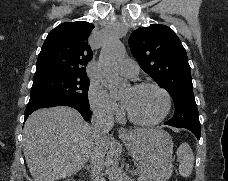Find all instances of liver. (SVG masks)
<instances>
[{"label": "liver", "mask_w": 228, "mask_h": 181, "mask_svg": "<svg viewBox=\"0 0 228 181\" xmlns=\"http://www.w3.org/2000/svg\"><path fill=\"white\" fill-rule=\"evenodd\" d=\"M23 151L34 181H58L85 167L96 145L92 127L71 107L39 109L24 125ZM114 139H102L106 151Z\"/></svg>", "instance_id": "1"}]
</instances>
